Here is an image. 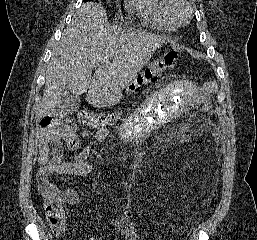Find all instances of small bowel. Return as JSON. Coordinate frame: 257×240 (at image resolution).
Segmentation results:
<instances>
[{
    "mask_svg": "<svg viewBox=\"0 0 257 240\" xmlns=\"http://www.w3.org/2000/svg\"><path fill=\"white\" fill-rule=\"evenodd\" d=\"M96 140L104 142L109 137V130L103 125H97ZM65 143L75 157L71 161L64 160ZM38 163L37 186L39 192L44 195L53 193L60 196L63 203L75 205L80 202L77 190L67 188L59 190L50 182L51 175L87 176L94 168L96 150L88 143L83 142L76 127L69 123L61 128H47L38 137ZM117 232L126 240H139L136 229L130 225L128 219L122 217L112 221ZM52 231L57 237L63 234V227L51 224ZM89 240H95L93 238Z\"/></svg>",
    "mask_w": 257,
    "mask_h": 240,
    "instance_id": "c3829d8e",
    "label": "small bowel"
}]
</instances>
